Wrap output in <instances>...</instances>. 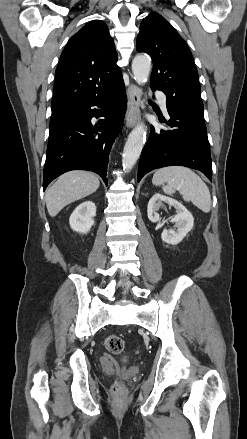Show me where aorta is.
<instances>
[{"mask_svg": "<svg viewBox=\"0 0 247 439\" xmlns=\"http://www.w3.org/2000/svg\"><path fill=\"white\" fill-rule=\"evenodd\" d=\"M151 70V59L147 55H137L132 61V72L139 85L147 82ZM146 141V128L143 123L137 125L129 134L122 157L124 170L129 171L136 164Z\"/></svg>", "mask_w": 247, "mask_h": 439, "instance_id": "aorta-1", "label": "aorta"}]
</instances>
